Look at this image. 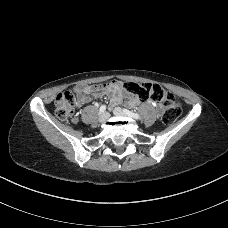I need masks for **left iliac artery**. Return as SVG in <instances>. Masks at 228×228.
I'll return each mask as SVG.
<instances>
[{"label": "left iliac artery", "instance_id": "1", "mask_svg": "<svg viewBox=\"0 0 228 228\" xmlns=\"http://www.w3.org/2000/svg\"><path fill=\"white\" fill-rule=\"evenodd\" d=\"M125 113L129 116V117H132L134 119H140V115L137 114V113H134L132 111H129L127 109H124Z\"/></svg>", "mask_w": 228, "mask_h": 228}]
</instances>
